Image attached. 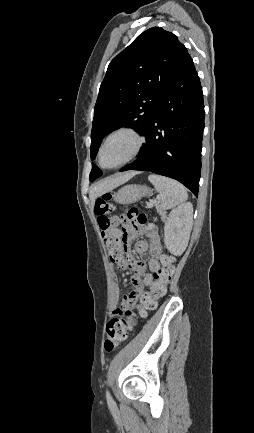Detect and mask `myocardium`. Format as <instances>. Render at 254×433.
<instances>
[{
	"mask_svg": "<svg viewBox=\"0 0 254 433\" xmlns=\"http://www.w3.org/2000/svg\"><path fill=\"white\" fill-rule=\"evenodd\" d=\"M120 134H126V135H130L131 137H133L136 141L135 147L133 149V151L131 152V154L122 162H120L119 164L115 165V166H111V167H107L104 166L102 164V152L103 149L106 145V143L113 137L120 135ZM145 144V138L144 136L134 127L132 126H122L114 131H112L111 133H109L105 139L103 140V142L100 145L99 151H98V163L99 165L104 168V169H108V170H112V169H117L120 168L126 164H128L129 162H131L132 160H134L142 151L143 147Z\"/></svg>",
	"mask_w": 254,
	"mask_h": 433,
	"instance_id": "f54148a6",
	"label": "myocardium"
}]
</instances>
